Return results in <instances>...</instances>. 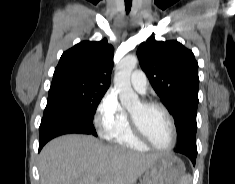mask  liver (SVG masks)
<instances>
[{
  "label": "liver",
  "mask_w": 235,
  "mask_h": 184,
  "mask_svg": "<svg viewBox=\"0 0 235 184\" xmlns=\"http://www.w3.org/2000/svg\"><path fill=\"white\" fill-rule=\"evenodd\" d=\"M161 154L105 146L94 136L68 134L48 142L39 156L41 184H131Z\"/></svg>",
  "instance_id": "1"
}]
</instances>
